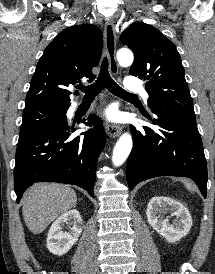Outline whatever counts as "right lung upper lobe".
Returning a JSON list of instances; mask_svg holds the SVG:
<instances>
[{
	"label": "right lung upper lobe",
	"mask_w": 215,
	"mask_h": 274,
	"mask_svg": "<svg viewBox=\"0 0 215 274\" xmlns=\"http://www.w3.org/2000/svg\"><path fill=\"white\" fill-rule=\"evenodd\" d=\"M103 37L92 24H80L61 31L46 47L32 77L25 109L43 106L69 108L70 91L82 78L93 81L92 67L99 63Z\"/></svg>",
	"instance_id": "right-lung-upper-lobe-1"
}]
</instances>
